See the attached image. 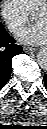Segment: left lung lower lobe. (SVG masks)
<instances>
[{"instance_id":"obj_1","label":"left lung lower lobe","mask_w":47,"mask_h":129,"mask_svg":"<svg viewBox=\"0 0 47 129\" xmlns=\"http://www.w3.org/2000/svg\"><path fill=\"white\" fill-rule=\"evenodd\" d=\"M44 80H45V84H46V87H47V74H45Z\"/></svg>"}]
</instances>
